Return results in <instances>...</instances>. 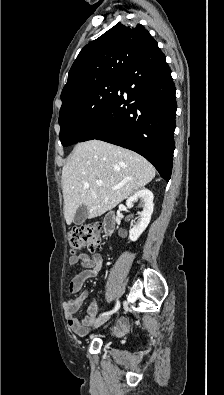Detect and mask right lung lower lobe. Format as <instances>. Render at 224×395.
Wrapping results in <instances>:
<instances>
[{
    "instance_id": "obj_1",
    "label": "right lung lower lobe",
    "mask_w": 224,
    "mask_h": 395,
    "mask_svg": "<svg viewBox=\"0 0 224 395\" xmlns=\"http://www.w3.org/2000/svg\"><path fill=\"white\" fill-rule=\"evenodd\" d=\"M175 91L165 56L153 42L127 69L116 95L79 142L97 139L133 150L168 182L175 148Z\"/></svg>"
}]
</instances>
